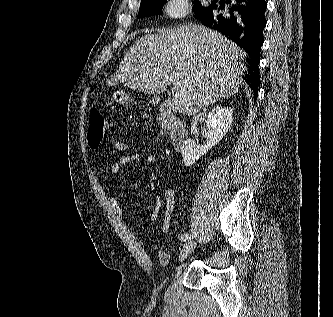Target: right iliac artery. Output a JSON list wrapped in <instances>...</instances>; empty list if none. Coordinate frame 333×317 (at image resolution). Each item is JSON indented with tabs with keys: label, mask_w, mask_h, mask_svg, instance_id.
Wrapping results in <instances>:
<instances>
[{
	"label": "right iliac artery",
	"mask_w": 333,
	"mask_h": 317,
	"mask_svg": "<svg viewBox=\"0 0 333 317\" xmlns=\"http://www.w3.org/2000/svg\"><path fill=\"white\" fill-rule=\"evenodd\" d=\"M191 238H192V235H191V234H189V233H185V234L181 235L180 240H181V241H187V240H191Z\"/></svg>",
	"instance_id": "right-iliac-artery-1"
}]
</instances>
